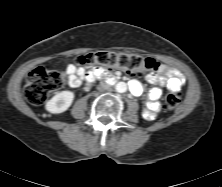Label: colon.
<instances>
[{"label": "colon", "instance_id": "colon-1", "mask_svg": "<svg viewBox=\"0 0 222 187\" xmlns=\"http://www.w3.org/2000/svg\"><path fill=\"white\" fill-rule=\"evenodd\" d=\"M76 64L79 68L84 69L87 75L94 72H107L114 68L123 69L131 74L155 71L158 68V63L153 58L108 51L81 55L76 59ZM64 83L63 73L37 67L28 75L24 96L29 103L39 105L45 102L51 92L60 89ZM179 103L180 96L177 93H169L165 96L166 109L174 110Z\"/></svg>", "mask_w": 222, "mask_h": 187}]
</instances>
